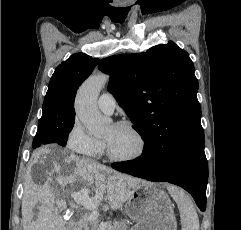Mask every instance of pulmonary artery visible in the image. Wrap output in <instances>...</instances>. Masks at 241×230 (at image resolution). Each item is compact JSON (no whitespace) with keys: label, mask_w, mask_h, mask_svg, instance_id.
Here are the masks:
<instances>
[{"label":"pulmonary artery","mask_w":241,"mask_h":230,"mask_svg":"<svg viewBox=\"0 0 241 230\" xmlns=\"http://www.w3.org/2000/svg\"><path fill=\"white\" fill-rule=\"evenodd\" d=\"M97 105L102 112L111 114L115 109L116 100L111 93L105 92L98 98Z\"/></svg>","instance_id":"pulmonary-artery-1"}]
</instances>
